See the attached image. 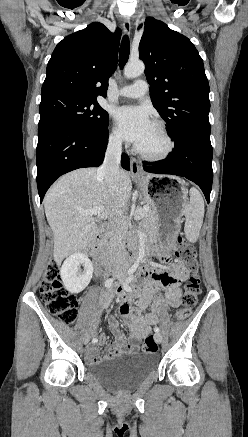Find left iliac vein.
Listing matches in <instances>:
<instances>
[{
	"label": "left iliac vein",
	"mask_w": 248,
	"mask_h": 437,
	"mask_svg": "<svg viewBox=\"0 0 248 437\" xmlns=\"http://www.w3.org/2000/svg\"><path fill=\"white\" fill-rule=\"evenodd\" d=\"M154 338H155L157 343H161L162 335L159 332L154 334Z\"/></svg>",
	"instance_id": "obj_1"
}]
</instances>
